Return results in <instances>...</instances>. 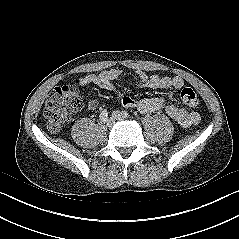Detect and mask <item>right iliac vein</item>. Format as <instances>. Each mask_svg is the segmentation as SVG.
I'll list each match as a JSON object with an SVG mask.
<instances>
[{
    "instance_id": "obj_1",
    "label": "right iliac vein",
    "mask_w": 239,
    "mask_h": 239,
    "mask_svg": "<svg viewBox=\"0 0 239 239\" xmlns=\"http://www.w3.org/2000/svg\"><path fill=\"white\" fill-rule=\"evenodd\" d=\"M113 124H114V121H113L112 118H110V119H108V120L106 121V126H107V127H112Z\"/></svg>"
}]
</instances>
